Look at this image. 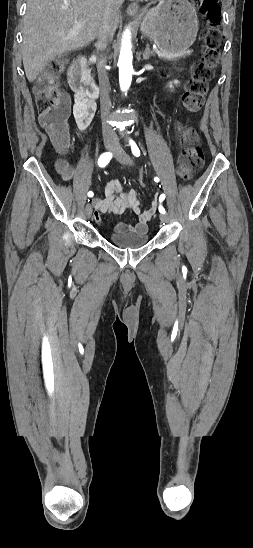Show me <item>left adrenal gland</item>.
Here are the masks:
<instances>
[{"label": "left adrenal gland", "instance_id": "a2214340", "mask_svg": "<svg viewBox=\"0 0 253 548\" xmlns=\"http://www.w3.org/2000/svg\"><path fill=\"white\" fill-rule=\"evenodd\" d=\"M151 56H154V53L150 50L149 44H146L145 51L143 52V59L149 60Z\"/></svg>", "mask_w": 253, "mask_h": 548}]
</instances>
